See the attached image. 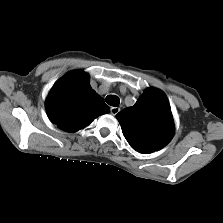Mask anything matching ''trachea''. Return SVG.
<instances>
[{"label": "trachea", "instance_id": "obj_1", "mask_svg": "<svg viewBox=\"0 0 223 223\" xmlns=\"http://www.w3.org/2000/svg\"><path fill=\"white\" fill-rule=\"evenodd\" d=\"M105 101H106L109 105L114 106V107L118 106L119 103H120V99H119V97H118V96H115V95H108V96L106 97Z\"/></svg>", "mask_w": 223, "mask_h": 223}]
</instances>
